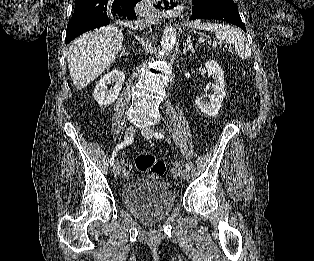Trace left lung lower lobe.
<instances>
[{
    "label": "left lung lower lobe",
    "instance_id": "left-lung-lower-lobe-1",
    "mask_svg": "<svg viewBox=\"0 0 314 261\" xmlns=\"http://www.w3.org/2000/svg\"><path fill=\"white\" fill-rule=\"evenodd\" d=\"M192 16L189 20L214 19L232 23L246 31L234 2L197 3L193 0Z\"/></svg>",
    "mask_w": 314,
    "mask_h": 261
}]
</instances>
